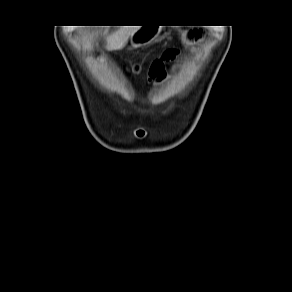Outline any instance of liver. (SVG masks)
I'll return each mask as SVG.
<instances>
[{"label":"liver","instance_id":"liver-1","mask_svg":"<svg viewBox=\"0 0 292 292\" xmlns=\"http://www.w3.org/2000/svg\"><path fill=\"white\" fill-rule=\"evenodd\" d=\"M138 28H120L110 34L107 38L106 48L108 50H114L120 48L130 36H133Z\"/></svg>","mask_w":292,"mask_h":292}]
</instances>
